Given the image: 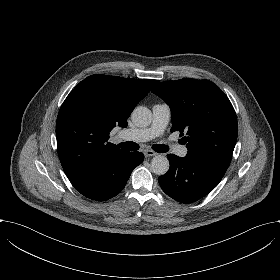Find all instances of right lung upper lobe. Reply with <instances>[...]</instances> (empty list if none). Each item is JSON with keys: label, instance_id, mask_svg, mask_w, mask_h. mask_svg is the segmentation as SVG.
<instances>
[{"label": "right lung upper lobe", "instance_id": "cb5924a9", "mask_svg": "<svg viewBox=\"0 0 280 280\" xmlns=\"http://www.w3.org/2000/svg\"><path fill=\"white\" fill-rule=\"evenodd\" d=\"M159 81L95 74L81 81L62 104L56 123L58 155L76 190L93 174L126 152L109 143L115 126L127 118Z\"/></svg>", "mask_w": 280, "mask_h": 280}]
</instances>
